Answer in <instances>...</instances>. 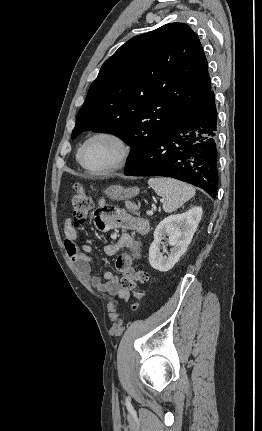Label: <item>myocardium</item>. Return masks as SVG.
<instances>
[{"mask_svg":"<svg viewBox=\"0 0 262 431\" xmlns=\"http://www.w3.org/2000/svg\"><path fill=\"white\" fill-rule=\"evenodd\" d=\"M102 138L113 140L119 147V155H118V158H117L116 162L114 163V165H112L110 168L95 171V170L88 168L85 165L84 154H85V151L87 149V146L92 141H94L96 139H102ZM131 153H132L131 144L125 136H123L122 134H120L118 132H114V131H101V132H97V133L91 135L89 138H87L84 141L83 145L81 146V148L79 150L78 162L81 165V167L89 175H92V176L109 175V174H112V173H115V172L121 170L126 165L127 161L129 160Z\"/></svg>","mask_w":262,"mask_h":431,"instance_id":"myocardium-1","label":"myocardium"}]
</instances>
